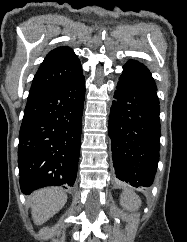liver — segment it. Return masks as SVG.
<instances>
[{
    "label": "liver",
    "instance_id": "liver-1",
    "mask_svg": "<svg viewBox=\"0 0 187 242\" xmlns=\"http://www.w3.org/2000/svg\"><path fill=\"white\" fill-rule=\"evenodd\" d=\"M30 202L33 221L41 225L63 208L67 195L61 188L48 187L34 192Z\"/></svg>",
    "mask_w": 187,
    "mask_h": 242
}]
</instances>
